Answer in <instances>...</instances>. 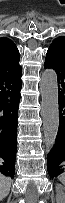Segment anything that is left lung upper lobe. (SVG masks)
Segmentation results:
<instances>
[{
    "instance_id": "obj_1",
    "label": "left lung upper lobe",
    "mask_w": 65,
    "mask_h": 203,
    "mask_svg": "<svg viewBox=\"0 0 65 203\" xmlns=\"http://www.w3.org/2000/svg\"><path fill=\"white\" fill-rule=\"evenodd\" d=\"M50 47H59L65 49V37H58L54 40Z\"/></svg>"
}]
</instances>
